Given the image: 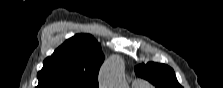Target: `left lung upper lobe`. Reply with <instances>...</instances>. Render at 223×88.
Returning <instances> with one entry per match:
<instances>
[{"instance_id": "obj_1", "label": "left lung upper lobe", "mask_w": 223, "mask_h": 88, "mask_svg": "<svg viewBox=\"0 0 223 88\" xmlns=\"http://www.w3.org/2000/svg\"><path fill=\"white\" fill-rule=\"evenodd\" d=\"M135 72L157 88H182L173 69L167 65L149 62L135 67Z\"/></svg>"}]
</instances>
